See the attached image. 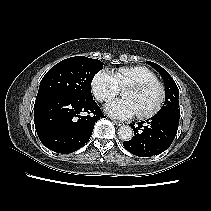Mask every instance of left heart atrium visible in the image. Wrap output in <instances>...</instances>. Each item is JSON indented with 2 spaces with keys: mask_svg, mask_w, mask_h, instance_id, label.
I'll list each match as a JSON object with an SVG mask.
<instances>
[{
  "mask_svg": "<svg viewBox=\"0 0 211 211\" xmlns=\"http://www.w3.org/2000/svg\"><path fill=\"white\" fill-rule=\"evenodd\" d=\"M104 110L108 115L119 119H128L137 114L133 102L126 98L108 103Z\"/></svg>",
  "mask_w": 211,
  "mask_h": 211,
  "instance_id": "39dd6f15",
  "label": "left heart atrium"
}]
</instances>
